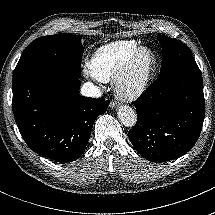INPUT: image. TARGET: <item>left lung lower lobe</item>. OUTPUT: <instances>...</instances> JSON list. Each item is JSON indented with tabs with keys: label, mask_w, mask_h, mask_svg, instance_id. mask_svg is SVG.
<instances>
[{
	"label": "left lung lower lobe",
	"mask_w": 215,
	"mask_h": 215,
	"mask_svg": "<svg viewBox=\"0 0 215 215\" xmlns=\"http://www.w3.org/2000/svg\"><path fill=\"white\" fill-rule=\"evenodd\" d=\"M133 104L137 123L128 135L136 151L151 162L181 157L196 143L205 115L196 62L160 75Z\"/></svg>",
	"instance_id": "0a47b994"
}]
</instances>
